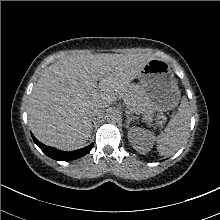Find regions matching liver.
<instances>
[{
  "instance_id": "6515ba94",
  "label": "liver",
  "mask_w": 220,
  "mask_h": 220,
  "mask_svg": "<svg viewBox=\"0 0 220 220\" xmlns=\"http://www.w3.org/2000/svg\"><path fill=\"white\" fill-rule=\"evenodd\" d=\"M152 59L146 54L102 53L70 55L54 62L29 98L33 134L63 151L83 147L91 134V111L106 108L122 96Z\"/></svg>"
}]
</instances>
